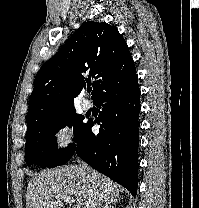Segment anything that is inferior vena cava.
I'll use <instances>...</instances> for the list:
<instances>
[{"label": "inferior vena cava", "mask_w": 199, "mask_h": 208, "mask_svg": "<svg viewBox=\"0 0 199 208\" xmlns=\"http://www.w3.org/2000/svg\"><path fill=\"white\" fill-rule=\"evenodd\" d=\"M79 166L84 171H90V168L81 160H78ZM102 197L99 195L97 187L93 184L92 188L89 191V198L87 202V208H101Z\"/></svg>", "instance_id": "inferior-vena-cava-1"}]
</instances>
